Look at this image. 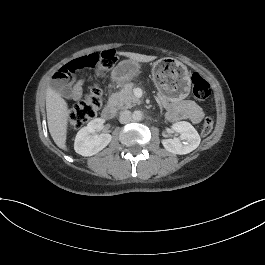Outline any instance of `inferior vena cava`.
<instances>
[{
  "instance_id": "1",
  "label": "inferior vena cava",
  "mask_w": 265,
  "mask_h": 265,
  "mask_svg": "<svg viewBox=\"0 0 265 265\" xmlns=\"http://www.w3.org/2000/svg\"><path fill=\"white\" fill-rule=\"evenodd\" d=\"M131 120V112L129 110H124L120 112L119 121L122 124L128 123Z\"/></svg>"
}]
</instances>
